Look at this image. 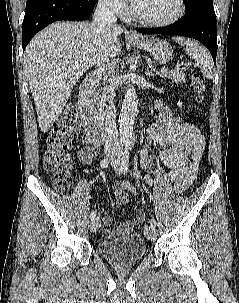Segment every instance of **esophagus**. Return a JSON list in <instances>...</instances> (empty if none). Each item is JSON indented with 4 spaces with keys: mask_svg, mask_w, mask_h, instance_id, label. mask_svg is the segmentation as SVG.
Listing matches in <instances>:
<instances>
[{
    "mask_svg": "<svg viewBox=\"0 0 239 303\" xmlns=\"http://www.w3.org/2000/svg\"><path fill=\"white\" fill-rule=\"evenodd\" d=\"M126 34L129 38H134V39L139 38V36L133 30L128 31Z\"/></svg>",
    "mask_w": 239,
    "mask_h": 303,
    "instance_id": "obj_1",
    "label": "esophagus"
}]
</instances>
